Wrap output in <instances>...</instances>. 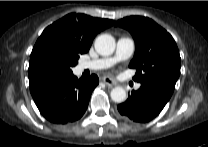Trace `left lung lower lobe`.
<instances>
[{
	"label": "left lung lower lobe",
	"mask_w": 208,
	"mask_h": 147,
	"mask_svg": "<svg viewBox=\"0 0 208 147\" xmlns=\"http://www.w3.org/2000/svg\"><path fill=\"white\" fill-rule=\"evenodd\" d=\"M173 90L155 81L141 83L137 91H132L129 98L118 105V111L129 120L139 123L148 122L162 111Z\"/></svg>",
	"instance_id": "0a47b994"
}]
</instances>
